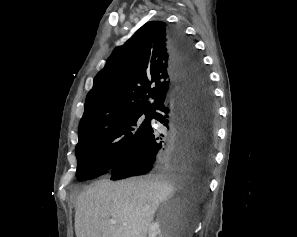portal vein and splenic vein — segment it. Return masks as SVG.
<instances>
[{"label":"portal vein and splenic vein","mask_w":297,"mask_h":237,"mask_svg":"<svg viewBox=\"0 0 297 237\" xmlns=\"http://www.w3.org/2000/svg\"><path fill=\"white\" fill-rule=\"evenodd\" d=\"M111 223H112V224H116V222H115V221H111ZM124 225H126V224H124Z\"/></svg>","instance_id":"obj_1"}]
</instances>
